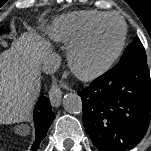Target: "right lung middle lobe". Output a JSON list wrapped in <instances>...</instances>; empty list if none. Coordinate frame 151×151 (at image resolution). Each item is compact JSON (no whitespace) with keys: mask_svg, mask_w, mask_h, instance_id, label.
I'll return each instance as SVG.
<instances>
[{"mask_svg":"<svg viewBox=\"0 0 151 151\" xmlns=\"http://www.w3.org/2000/svg\"><path fill=\"white\" fill-rule=\"evenodd\" d=\"M2 32V29L0 28V33Z\"/></svg>","mask_w":151,"mask_h":151,"instance_id":"dd1d6c3e","label":"right lung middle lobe"}]
</instances>
